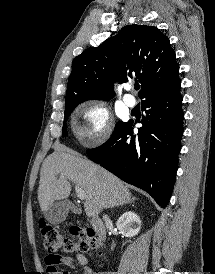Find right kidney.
Masks as SVG:
<instances>
[{"mask_svg": "<svg viewBox=\"0 0 215 274\" xmlns=\"http://www.w3.org/2000/svg\"><path fill=\"white\" fill-rule=\"evenodd\" d=\"M117 228L126 237H134L141 228V220L137 214L132 211L125 212L117 220Z\"/></svg>", "mask_w": 215, "mask_h": 274, "instance_id": "ca27d5eb", "label": "right kidney"}]
</instances>
